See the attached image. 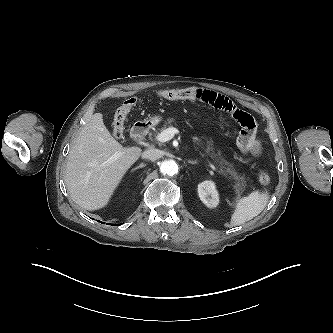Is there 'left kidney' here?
Instances as JSON below:
<instances>
[{
    "label": "left kidney",
    "mask_w": 333,
    "mask_h": 333,
    "mask_svg": "<svg viewBox=\"0 0 333 333\" xmlns=\"http://www.w3.org/2000/svg\"><path fill=\"white\" fill-rule=\"evenodd\" d=\"M200 200L209 208H215L219 204V194L212 181H203L198 185Z\"/></svg>",
    "instance_id": "left-kidney-1"
}]
</instances>
